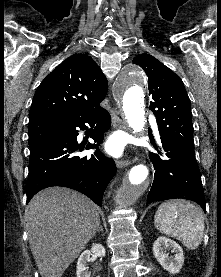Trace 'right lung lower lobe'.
<instances>
[{"label": "right lung lower lobe", "mask_w": 221, "mask_h": 277, "mask_svg": "<svg viewBox=\"0 0 221 277\" xmlns=\"http://www.w3.org/2000/svg\"><path fill=\"white\" fill-rule=\"evenodd\" d=\"M53 133L30 148L27 202L40 190L50 186H63L77 190L102 206L104 191L116 173L115 162L97 150L93 155H78L84 146L78 145V130H94L86 149L97 147L103 141L104 132L110 127L111 117L107 110H98L72 118L49 121Z\"/></svg>", "instance_id": "98d812e1"}]
</instances>
